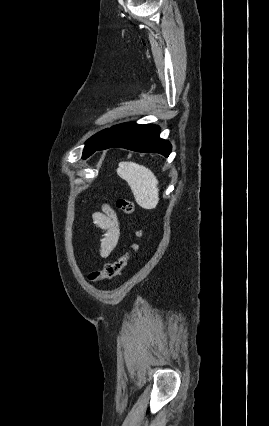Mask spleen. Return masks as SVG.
Segmentation results:
<instances>
[{
	"label": "spleen",
	"mask_w": 269,
	"mask_h": 426,
	"mask_svg": "<svg viewBox=\"0 0 269 426\" xmlns=\"http://www.w3.org/2000/svg\"><path fill=\"white\" fill-rule=\"evenodd\" d=\"M117 174L130 186L137 204L144 209H154L159 202L158 180L147 167L131 162H120Z\"/></svg>",
	"instance_id": "1"
}]
</instances>
